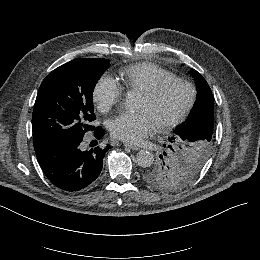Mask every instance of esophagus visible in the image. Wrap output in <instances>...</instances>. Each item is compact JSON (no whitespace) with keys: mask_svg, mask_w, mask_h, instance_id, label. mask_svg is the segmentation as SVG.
I'll return each instance as SVG.
<instances>
[{"mask_svg":"<svg viewBox=\"0 0 260 260\" xmlns=\"http://www.w3.org/2000/svg\"><path fill=\"white\" fill-rule=\"evenodd\" d=\"M124 146H126L132 150H135V151H139L141 149L139 146L128 143V142L124 143Z\"/></svg>","mask_w":260,"mask_h":260,"instance_id":"obj_1","label":"esophagus"}]
</instances>
